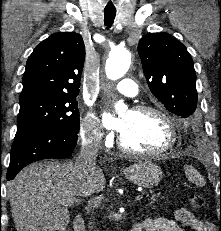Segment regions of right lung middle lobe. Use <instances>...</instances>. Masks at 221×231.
Returning a JSON list of instances; mask_svg holds the SVG:
<instances>
[{
    "instance_id": "1",
    "label": "right lung middle lobe",
    "mask_w": 221,
    "mask_h": 231,
    "mask_svg": "<svg viewBox=\"0 0 221 231\" xmlns=\"http://www.w3.org/2000/svg\"><path fill=\"white\" fill-rule=\"evenodd\" d=\"M20 100L16 136L32 127H52L78 133L79 110L76 96H31Z\"/></svg>"
}]
</instances>
